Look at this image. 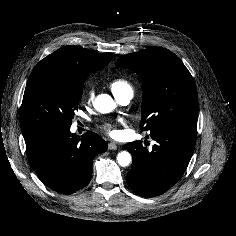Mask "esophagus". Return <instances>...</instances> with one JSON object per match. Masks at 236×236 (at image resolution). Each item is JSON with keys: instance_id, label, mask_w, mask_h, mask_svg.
Instances as JSON below:
<instances>
[{"instance_id": "1", "label": "esophagus", "mask_w": 236, "mask_h": 236, "mask_svg": "<svg viewBox=\"0 0 236 236\" xmlns=\"http://www.w3.org/2000/svg\"><path fill=\"white\" fill-rule=\"evenodd\" d=\"M108 149H109V150H116V149H117L116 143L110 142V143L108 144Z\"/></svg>"}]
</instances>
